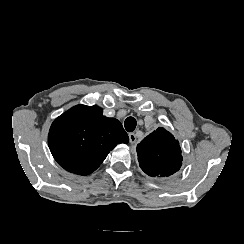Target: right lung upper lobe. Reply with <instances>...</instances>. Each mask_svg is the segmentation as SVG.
<instances>
[{
  "instance_id": "right-lung-upper-lobe-1",
  "label": "right lung upper lobe",
  "mask_w": 244,
  "mask_h": 244,
  "mask_svg": "<svg viewBox=\"0 0 244 244\" xmlns=\"http://www.w3.org/2000/svg\"><path fill=\"white\" fill-rule=\"evenodd\" d=\"M129 137L115 118L103 115L98 106L77 105L52 123L48 145L54 159L65 170L88 175L107 154Z\"/></svg>"
}]
</instances>
